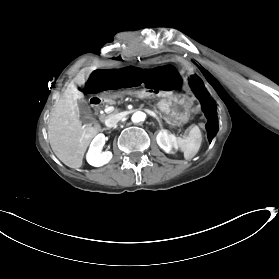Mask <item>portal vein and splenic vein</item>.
I'll list each match as a JSON object with an SVG mask.
<instances>
[{
	"instance_id": "18ae733b",
	"label": "portal vein and splenic vein",
	"mask_w": 279,
	"mask_h": 279,
	"mask_svg": "<svg viewBox=\"0 0 279 279\" xmlns=\"http://www.w3.org/2000/svg\"><path fill=\"white\" fill-rule=\"evenodd\" d=\"M113 110H114V107H113V106H109V107L105 108V112H106V113H110V112H112Z\"/></svg>"
}]
</instances>
